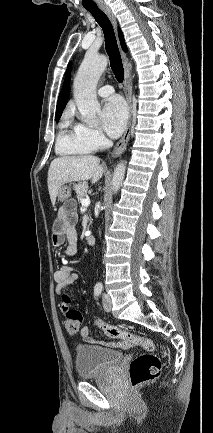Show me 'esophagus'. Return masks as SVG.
Instances as JSON below:
<instances>
[{"mask_svg": "<svg viewBox=\"0 0 213 433\" xmlns=\"http://www.w3.org/2000/svg\"><path fill=\"white\" fill-rule=\"evenodd\" d=\"M100 7L108 15L114 27L117 29V21L113 11L105 4H102ZM121 55L124 64V92L128 103L129 116H128V123L124 135L122 136V138L120 139V141L117 143V145L112 151V155L114 157L119 156L126 149L127 143L129 141L130 133H131L132 114H133L132 89H131L129 69L127 65V57H126V53H124L123 51H121Z\"/></svg>", "mask_w": 213, "mask_h": 433, "instance_id": "1", "label": "esophagus"}]
</instances>
